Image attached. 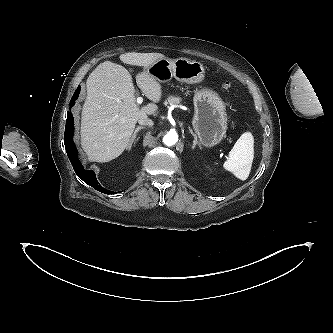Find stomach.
<instances>
[{
	"label": "stomach",
	"instance_id": "obj_1",
	"mask_svg": "<svg viewBox=\"0 0 333 333\" xmlns=\"http://www.w3.org/2000/svg\"><path fill=\"white\" fill-rule=\"evenodd\" d=\"M160 83L170 81L172 77L188 84L200 83L205 77L202 63L187 58H160L145 68ZM194 116L192 126L200 143L213 147L221 142L227 131L225 104L213 90L202 88L195 92Z\"/></svg>",
	"mask_w": 333,
	"mask_h": 333
}]
</instances>
